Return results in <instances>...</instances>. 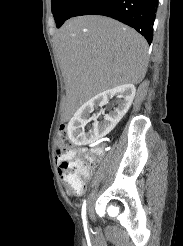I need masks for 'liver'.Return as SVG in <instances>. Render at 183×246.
<instances>
[{"label": "liver", "instance_id": "6515ba94", "mask_svg": "<svg viewBox=\"0 0 183 246\" xmlns=\"http://www.w3.org/2000/svg\"><path fill=\"white\" fill-rule=\"evenodd\" d=\"M55 46L70 104L123 84H139L148 65V45L134 29L108 17L72 18L55 34Z\"/></svg>", "mask_w": 183, "mask_h": 246}]
</instances>
